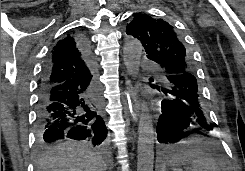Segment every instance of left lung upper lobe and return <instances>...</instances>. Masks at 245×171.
<instances>
[{"mask_svg":"<svg viewBox=\"0 0 245 171\" xmlns=\"http://www.w3.org/2000/svg\"><path fill=\"white\" fill-rule=\"evenodd\" d=\"M126 33L140 40L148 58L162 68L177 62L193 72L190 56L180 34L167 21L136 13L127 24Z\"/></svg>","mask_w":245,"mask_h":171,"instance_id":"1","label":"left lung upper lobe"}]
</instances>
